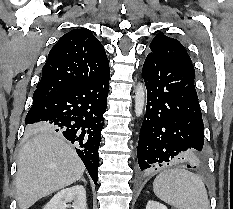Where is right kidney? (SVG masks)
Listing matches in <instances>:
<instances>
[{"label":"right kidney","mask_w":233,"mask_h":209,"mask_svg":"<svg viewBox=\"0 0 233 209\" xmlns=\"http://www.w3.org/2000/svg\"><path fill=\"white\" fill-rule=\"evenodd\" d=\"M68 203H72L68 205ZM87 209L86 190L82 185L65 188L55 194L43 209Z\"/></svg>","instance_id":"obj_1"}]
</instances>
